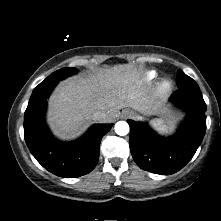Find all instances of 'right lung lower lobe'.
I'll return each mask as SVG.
<instances>
[{"label": "right lung lower lobe", "mask_w": 221, "mask_h": 221, "mask_svg": "<svg viewBox=\"0 0 221 221\" xmlns=\"http://www.w3.org/2000/svg\"><path fill=\"white\" fill-rule=\"evenodd\" d=\"M56 84L33 90L24 114V138L32 155L45 169L59 177L75 178L95 168L101 139L112 124L93 125L74 142L55 139L46 125L45 112L47 98Z\"/></svg>", "instance_id": "98d812e1"}]
</instances>
